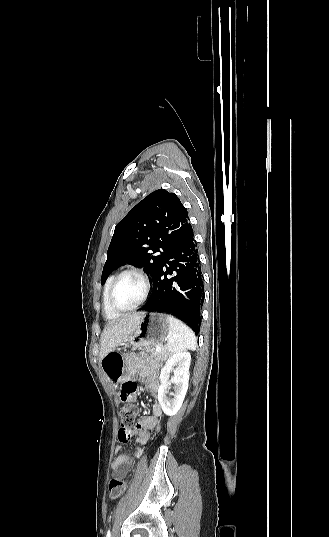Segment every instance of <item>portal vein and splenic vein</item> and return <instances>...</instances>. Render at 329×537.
<instances>
[{"mask_svg": "<svg viewBox=\"0 0 329 537\" xmlns=\"http://www.w3.org/2000/svg\"><path fill=\"white\" fill-rule=\"evenodd\" d=\"M161 350H162V348L160 346L156 347V351H161Z\"/></svg>", "mask_w": 329, "mask_h": 537, "instance_id": "obj_1", "label": "portal vein and splenic vein"}]
</instances>
